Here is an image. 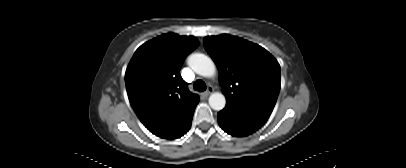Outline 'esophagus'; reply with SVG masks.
<instances>
[{"label": "esophagus", "mask_w": 406, "mask_h": 168, "mask_svg": "<svg viewBox=\"0 0 406 168\" xmlns=\"http://www.w3.org/2000/svg\"><path fill=\"white\" fill-rule=\"evenodd\" d=\"M213 92V87L212 86H208L207 90L204 92V94L206 96L210 95Z\"/></svg>", "instance_id": "obj_1"}]
</instances>
